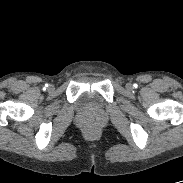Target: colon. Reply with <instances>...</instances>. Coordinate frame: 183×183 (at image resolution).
Segmentation results:
<instances>
[{
  "mask_svg": "<svg viewBox=\"0 0 183 183\" xmlns=\"http://www.w3.org/2000/svg\"><path fill=\"white\" fill-rule=\"evenodd\" d=\"M87 127L90 132L95 131V122L93 119L90 118L87 119Z\"/></svg>",
  "mask_w": 183,
  "mask_h": 183,
  "instance_id": "colon-1",
  "label": "colon"
}]
</instances>
